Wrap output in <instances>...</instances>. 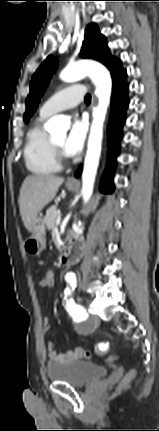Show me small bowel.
<instances>
[{
  "instance_id": "c3829d8e",
  "label": "small bowel",
  "mask_w": 159,
  "mask_h": 431,
  "mask_svg": "<svg viewBox=\"0 0 159 431\" xmlns=\"http://www.w3.org/2000/svg\"><path fill=\"white\" fill-rule=\"evenodd\" d=\"M52 271L53 268L50 265H47L45 267V272L39 282L41 288L50 289L48 279L52 276ZM43 329L45 332H48L51 329L50 319L47 316L43 318ZM47 353L49 357V362L52 363H67L85 357V349L82 347H76L65 353H58L53 342L47 343Z\"/></svg>"
}]
</instances>
